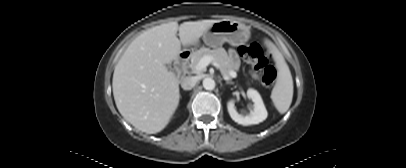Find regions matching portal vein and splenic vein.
Returning a JSON list of instances; mask_svg holds the SVG:
<instances>
[{
	"label": "portal vein and splenic vein",
	"instance_id": "1",
	"mask_svg": "<svg viewBox=\"0 0 406 168\" xmlns=\"http://www.w3.org/2000/svg\"><path fill=\"white\" fill-rule=\"evenodd\" d=\"M211 62H213L212 56H208V55L203 56L195 67L196 72H200V71L204 70ZM215 66H217V64H215ZM236 76H237V74L235 71L230 72V77L236 78ZM224 78L226 80L229 79V77H227V76H225Z\"/></svg>",
	"mask_w": 406,
	"mask_h": 168
}]
</instances>
